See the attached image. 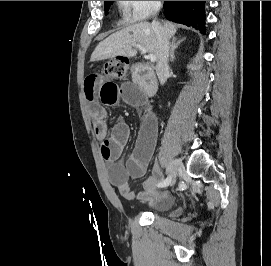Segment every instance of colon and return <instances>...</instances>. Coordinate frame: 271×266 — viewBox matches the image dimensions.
<instances>
[{
  "instance_id": "1",
  "label": "colon",
  "mask_w": 271,
  "mask_h": 266,
  "mask_svg": "<svg viewBox=\"0 0 271 266\" xmlns=\"http://www.w3.org/2000/svg\"><path fill=\"white\" fill-rule=\"evenodd\" d=\"M128 62L124 58L107 61L103 66L104 74L112 78H122L127 73Z\"/></svg>"
}]
</instances>
